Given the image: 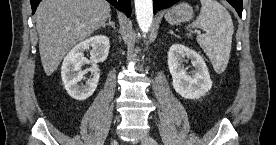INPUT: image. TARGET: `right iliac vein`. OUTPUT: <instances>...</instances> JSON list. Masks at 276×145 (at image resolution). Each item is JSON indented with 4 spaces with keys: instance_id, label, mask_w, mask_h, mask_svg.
<instances>
[{
    "instance_id": "63e3f726",
    "label": "right iliac vein",
    "mask_w": 276,
    "mask_h": 145,
    "mask_svg": "<svg viewBox=\"0 0 276 145\" xmlns=\"http://www.w3.org/2000/svg\"><path fill=\"white\" fill-rule=\"evenodd\" d=\"M111 144H116V140L112 139Z\"/></svg>"
}]
</instances>
